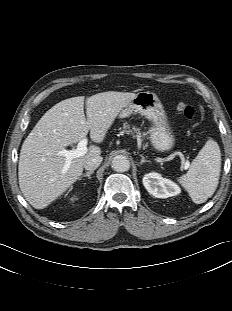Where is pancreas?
Segmentation results:
<instances>
[{
    "label": "pancreas",
    "mask_w": 232,
    "mask_h": 311,
    "mask_svg": "<svg viewBox=\"0 0 232 311\" xmlns=\"http://www.w3.org/2000/svg\"><path fill=\"white\" fill-rule=\"evenodd\" d=\"M122 133L132 134L137 139L138 143H141L143 141V137L145 136L144 133H141L139 128L131 126L127 122L123 124ZM145 146H147V144Z\"/></svg>",
    "instance_id": "obj_1"
}]
</instances>
